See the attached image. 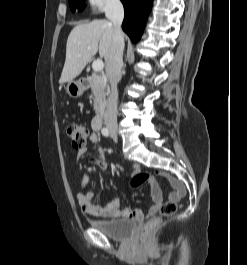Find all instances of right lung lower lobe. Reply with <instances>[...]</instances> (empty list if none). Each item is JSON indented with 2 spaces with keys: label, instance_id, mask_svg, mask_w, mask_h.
<instances>
[{
  "label": "right lung lower lobe",
  "instance_id": "98d812e1",
  "mask_svg": "<svg viewBox=\"0 0 247 265\" xmlns=\"http://www.w3.org/2000/svg\"><path fill=\"white\" fill-rule=\"evenodd\" d=\"M124 5L125 17L123 30L136 43L144 30L147 17L151 11L153 0H121Z\"/></svg>",
  "mask_w": 247,
  "mask_h": 265
}]
</instances>
